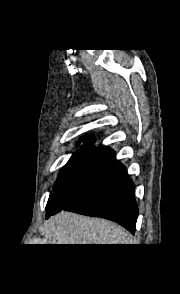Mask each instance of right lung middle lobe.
I'll return each mask as SVG.
<instances>
[{
  "label": "right lung middle lobe",
  "instance_id": "dd1d6c3e",
  "mask_svg": "<svg viewBox=\"0 0 180 294\" xmlns=\"http://www.w3.org/2000/svg\"><path fill=\"white\" fill-rule=\"evenodd\" d=\"M98 148L86 144V147L81 148L77 153L69 159L67 164L62 168L55 183L53 193L50 194L47 206L61 193L76 177L84 164L95 153Z\"/></svg>",
  "mask_w": 180,
  "mask_h": 294
}]
</instances>
